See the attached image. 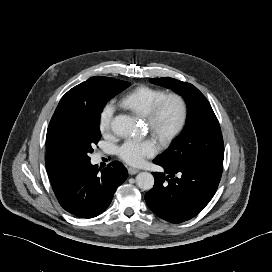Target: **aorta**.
Here are the masks:
<instances>
[{"instance_id":"1","label":"aorta","mask_w":272,"mask_h":272,"mask_svg":"<svg viewBox=\"0 0 272 272\" xmlns=\"http://www.w3.org/2000/svg\"><path fill=\"white\" fill-rule=\"evenodd\" d=\"M111 129L118 136H131L137 133L138 122L129 115H117L111 121ZM136 184L142 190H150L154 186V177L149 172H141L136 176Z\"/></svg>"}]
</instances>
